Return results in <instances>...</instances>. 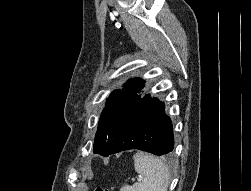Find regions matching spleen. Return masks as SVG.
<instances>
[{
  "mask_svg": "<svg viewBox=\"0 0 251 191\" xmlns=\"http://www.w3.org/2000/svg\"><path fill=\"white\" fill-rule=\"evenodd\" d=\"M134 167L141 173V181L133 185H123L120 191H167L170 181L169 167L155 155L137 151L133 155Z\"/></svg>",
  "mask_w": 251,
  "mask_h": 191,
  "instance_id": "spleen-1",
  "label": "spleen"
}]
</instances>
